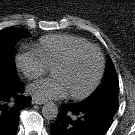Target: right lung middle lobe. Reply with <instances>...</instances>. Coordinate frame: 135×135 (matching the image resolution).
I'll list each match as a JSON object with an SVG mask.
<instances>
[{
	"instance_id": "dd1d6c3e",
	"label": "right lung middle lobe",
	"mask_w": 135,
	"mask_h": 135,
	"mask_svg": "<svg viewBox=\"0 0 135 135\" xmlns=\"http://www.w3.org/2000/svg\"><path fill=\"white\" fill-rule=\"evenodd\" d=\"M29 35L25 30L9 27L0 30V84L19 80L13 58L16 43Z\"/></svg>"
}]
</instances>
